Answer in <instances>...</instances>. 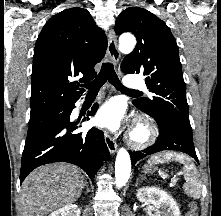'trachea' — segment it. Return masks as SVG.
<instances>
[{
	"mask_svg": "<svg viewBox=\"0 0 221 216\" xmlns=\"http://www.w3.org/2000/svg\"><path fill=\"white\" fill-rule=\"evenodd\" d=\"M109 81L117 90H120L122 92H127V93H134V94H141L140 91H137V90H131V89H128L126 87H124L122 85V83L120 82L115 70H114V67H113V64L111 63H104L102 65V68L100 70V73L97 75V77L89 82V83H86L84 84L83 86L85 88L88 89V93H98V91L100 90V88L103 86V84L106 82V81Z\"/></svg>",
	"mask_w": 221,
	"mask_h": 216,
	"instance_id": "obj_1",
	"label": "trachea"
}]
</instances>
